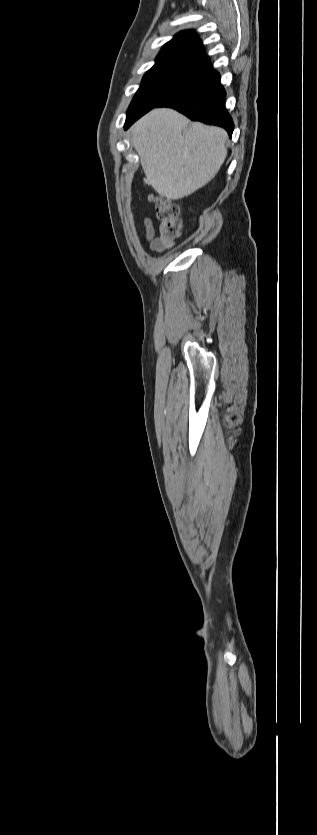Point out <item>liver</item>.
<instances>
[{
	"label": "liver",
	"mask_w": 317,
	"mask_h": 835,
	"mask_svg": "<svg viewBox=\"0 0 317 835\" xmlns=\"http://www.w3.org/2000/svg\"><path fill=\"white\" fill-rule=\"evenodd\" d=\"M227 132L190 121L169 108L153 109L132 127L145 182L168 200L189 196L210 182L227 156Z\"/></svg>",
	"instance_id": "6515ba94"
}]
</instances>
